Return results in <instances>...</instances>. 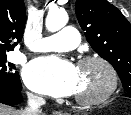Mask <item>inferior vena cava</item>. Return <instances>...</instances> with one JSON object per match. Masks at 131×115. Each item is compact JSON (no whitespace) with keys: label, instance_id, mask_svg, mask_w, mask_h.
Listing matches in <instances>:
<instances>
[{"label":"inferior vena cava","instance_id":"inferior-vena-cava-1","mask_svg":"<svg viewBox=\"0 0 131 115\" xmlns=\"http://www.w3.org/2000/svg\"><path fill=\"white\" fill-rule=\"evenodd\" d=\"M27 107L21 110L19 115H39L40 107L46 103V101L39 96L28 93Z\"/></svg>","mask_w":131,"mask_h":115}]
</instances>
